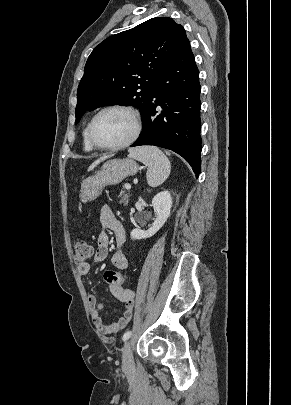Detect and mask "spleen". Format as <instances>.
Instances as JSON below:
<instances>
[{
    "label": "spleen",
    "instance_id": "1",
    "mask_svg": "<svg viewBox=\"0 0 291 405\" xmlns=\"http://www.w3.org/2000/svg\"><path fill=\"white\" fill-rule=\"evenodd\" d=\"M167 154L154 146L137 147L129 151L130 158L147 166V183L151 187L161 185L170 174L171 165Z\"/></svg>",
    "mask_w": 291,
    "mask_h": 405
}]
</instances>
